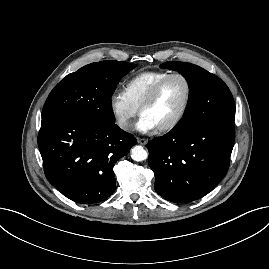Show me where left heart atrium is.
I'll return each mask as SVG.
<instances>
[{"label":"left heart atrium","mask_w":269,"mask_h":269,"mask_svg":"<svg viewBox=\"0 0 269 269\" xmlns=\"http://www.w3.org/2000/svg\"><path fill=\"white\" fill-rule=\"evenodd\" d=\"M156 128L155 124L146 116L141 115L135 124V129L142 133H147Z\"/></svg>","instance_id":"left-heart-atrium-1"}]
</instances>
